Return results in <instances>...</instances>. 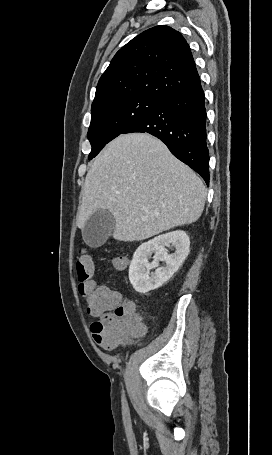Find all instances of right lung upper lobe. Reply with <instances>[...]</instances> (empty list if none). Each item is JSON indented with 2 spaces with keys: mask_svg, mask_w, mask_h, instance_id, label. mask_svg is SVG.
<instances>
[{
  "mask_svg": "<svg viewBox=\"0 0 272 455\" xmlns=\"http://www.w3.org/2000/svg\"><path fill=\"white\" fill-rule=\"evenodd\" d=\"M198 79L190 47L181 33L155 26L115 54L99 79L92 108L134 96L165 99Z\"/></svg>",
  "mask_w": 272,
  "mask_h": 455,
  "instance_id": "cb5924a9",
  "label": "right lung upper lobe"
}]
</instances>
